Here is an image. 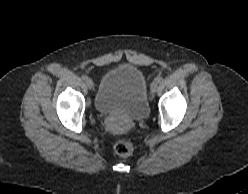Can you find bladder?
Wrapping results in <instances>:
<instances>
[{
  "label": "bladder",
  "instance_id": "31cf9c89",
  "mask_svg": "<svg viewBox=\"0 0 248 194\" xmlns=\"http://www.w3.org/2000/svg\"><path fill=\"white\" fill-rule=\"evenodd\" d=\"M101 114L122 113L129 121H143L150 112L147 84L142 71L131 64L109 70L94 97Z\"/></svg>",
  "mask_w": 248,
  "mask_h": 194
}]
</instances>
